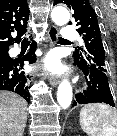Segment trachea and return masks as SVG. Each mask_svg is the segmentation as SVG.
Instances as JSON below:
<instances>
[{
    "label": "trachea",
    "mask_w": 117,
    "mask_h": 136,
    "mask_svg": "<svg viewBox=\"0 0 117 136\" xmlns=\"http://www.w3.org/2000/svg\"><path fill=\"white\" fill-rule=\"evenodd\" d=\"M24 40L26 41V39H24ZM59 41H67V40L64 39V38L59 37Z\"/></svg>",
    "instance_id": "1"
}]
</instances>
